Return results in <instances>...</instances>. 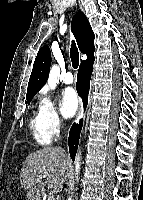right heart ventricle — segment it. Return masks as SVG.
I'll use <instances>...</instances> for the list:
<instances>
[{
    "label": "right heart ventricle",
    "instance_id": "right-heart-ventricle-1",
    "mask_svg": "<svg viewBox=\"0 0 143 200\" xmlns=\"http://www.w3.org/2000/svg\"><path fill=\"white\" fill-rule=\"evenodd\" d=\"M30 129L36 142L42 146L49 145L52 137L46 131L40 109L34 112L30 120Z\"/></svg>",
    "mask_w": 143,
    "mask_h": 200
}]
</instances>
